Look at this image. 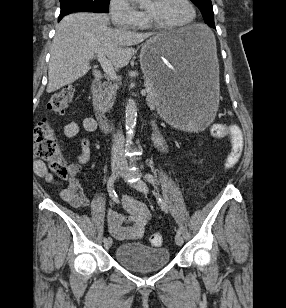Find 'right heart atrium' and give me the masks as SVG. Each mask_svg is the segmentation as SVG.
I'll return each instance as SVG.
<instances>
[{"label":"right heart atrium","instance_id":"1","mask_svg":"<svg viewBox=\"0 0 286 308\" xmlns=\"http://www.w3.org/2000/svg\"><path fill=\"white\" fill-rule=\"evenodd\" d=\"M109 15L113 25L122 29L138 28L145 21L144 16L128 0H109Z\"/></svg>","mask_w":286,"mask_h":308}]
</instances>
